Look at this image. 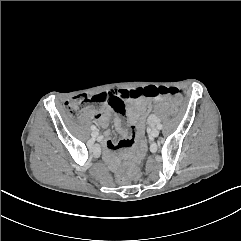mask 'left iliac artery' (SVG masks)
<instances>
[{"label": "left iliac artery", "instance_id": "left-iliac-artery-1", "mask_svg": "<svg viewBox=\"0 0 241 241\" xmlns=\"http://www.w3.org/2000/svg\"><path fill=\"white\" fill-rule=\"evenodd\" d=\"M157 128H158L159 130L162 129V124L158 123V124H157Z\"/></svg>", "mask_w": 241, "mask_h": 241}]
</instances>
